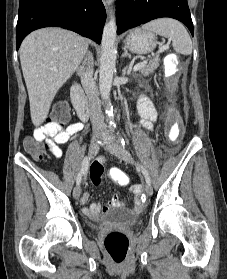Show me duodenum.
Masks as SVG:
<instances>
[{
    "label": "duodenum",
    "mask_w": 227,
    "mask_h": 279,
    "mask_svg": "<svg viewBox=\"0 0 227 279\" xmlns=\"http://www.w3.org/2000/svg\"><path fill=\"white\" fill-rule=\"evenodd\" d=\"M71 97L73 106L77 112L79 118L86 122L89 117V106L87 98L80 86V84L75 83L71 87Z\"/></svg>",
    "instance_id": "410a0bca"
}]
</instances>
